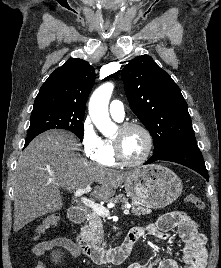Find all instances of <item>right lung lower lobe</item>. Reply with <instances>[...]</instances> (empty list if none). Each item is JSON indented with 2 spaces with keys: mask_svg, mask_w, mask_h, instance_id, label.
Listing matches in <instances>:
<instances>
[{
  "mask_svg": "<svg viewBox=\"0 0 221 268\" xmlns=\"http://www.w3.org/2000/svg\"><path fill=\"white\" fill-rule=\"evenodd\" d=\"M34 137H35V136H33V137H27V138H26L24 148L31 142V140H32Z\"/></svg>",
  "mask_w": 221,
  "mask_h": 268,
  "instance_id": "98d812e1",
  "label": "right lung lower lobe"
}]
</instances>
